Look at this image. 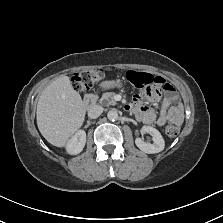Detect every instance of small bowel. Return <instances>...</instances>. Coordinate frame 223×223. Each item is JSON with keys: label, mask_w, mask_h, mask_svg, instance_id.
<instances>
[{"label": "small bowel", "mask_w": 223, "mask_h": 223, "mask_svg": "<svg viewBox=\"0 0 223 223\" xmlns=\"http://www.w3.org/2000/svg\"><path fill=\"white\" fill-rule=\"evenodd\" d=\"M165 84V96L161 103V110L158 116L152 108L144 105L143 98L147 97L150 101H157L161 98V92H157L152 87H145L143 93L136 94L133 102L128 106L129 110L136 113L137 117L147 124L156 123L159 126H179L184 119L181 106L177 105L178 96L173 87L164 79L158 77Z\"/></svg>", "instance_id": "small-bowel-1"}]
</instances>
